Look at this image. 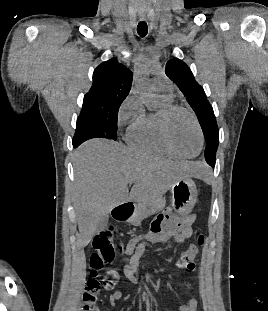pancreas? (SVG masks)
<instances>
[{"mask_svg": "<svg viewBox=\"0 0 268 311\" xmlns=\"http://www.w3.org/2000/svg\"><path fill=\"white\" fill-rule=\"evenodd\" d=\"M165 200L162 198L150 199L140 202L137 206L136 214L132 218L133 225H139L143 218L162 210L165 207Z\"/></svg>", "mask_w": 268, "mask_h": 311, "instance_id": "1", "label": "pancreas"}]
</instances>
